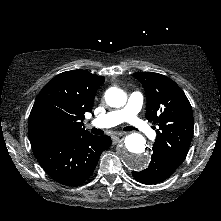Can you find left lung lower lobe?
<instances>
[{"label": "left lung lower lobe", "mask_w": 221, "mask_h": 221, "mask_svg": "<svg viewBox=\"0 0 221 221\" xmlns=\"http://www.w3.org/2000/svg\"><path fill=\"white\" fill-rule=\"evenodd\" d=\"M176 169L158 151L153 150L149 167L141 172H132V175L140 183L155 184L167 179Z\"/></svg>", "instance_id": "0a47b994"}]
</instances>
